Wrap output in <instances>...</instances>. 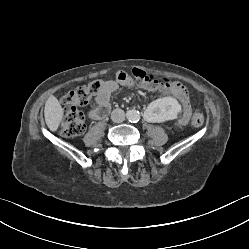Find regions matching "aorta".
I'll use <instances>...</instances> for the list:
<instances>
[{"mask_svg":"<svg viewBox=\"0 0 249 249\" xmlns=\"http://www.w3.org/2000/svg\"><path fill=\"white\" fill-rule=\"evenodd\" d=\"M126 117L130 122H138L140 120V113L138 110L132 109L127 111Z\"/></svg>","mask_w":249,"mask_h":249,"instance_id":"762f6f07","label":"aorta"}]
</instances>
